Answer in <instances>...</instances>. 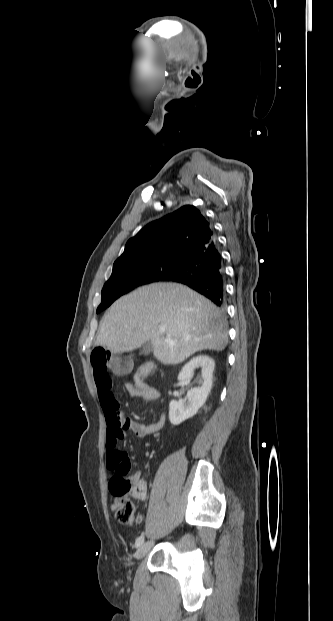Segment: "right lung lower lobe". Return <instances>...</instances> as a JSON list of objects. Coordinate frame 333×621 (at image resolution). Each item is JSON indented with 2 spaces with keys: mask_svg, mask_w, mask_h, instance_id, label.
Returning a JSON list of instances; mask_svg holds the SVG:
<instances>
[{
  "mask_svg": "<svg viewBox=\"0 0 333 621\" xmlns=\"http://www.w3.org/2000/svg\"><path fill=\"white\" fill-rule=\"evenodd\" d=\"M161 281L189 286L210 299L218 307L225 305V274L216 239L188 255L182 265Z\"/></svg>",
  "mask_w": 333,
  "mask_h": 621,
  "instance_id": "obj_1",
  "label": "right lung lower lobe"
}]
</instances>
